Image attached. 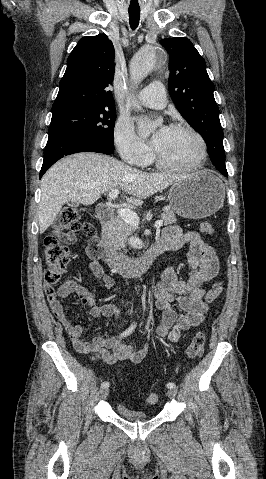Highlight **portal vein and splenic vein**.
<instances>
[{"instance_id": "obj_1", "label": "portal vein and splenic vein", "mask_w": 266, "mask_h": 479, "mask_svg": "<svg viewBox=\"0 0 266 479\" xmlns=\"http://www.w3.org/2000/svg\"><path fill=\"white\" fill-rule=\"evenodd\" d=\"M119 194L118 189H113L109 193V199L114 200ZM118 214L119 216L128 224L132 226H138L139 225V216L133 212L130 209L127 208H120L118 209ZM163 225V220H158L155 222V227L160 228Z\"/></svg>"}]
</instances>
